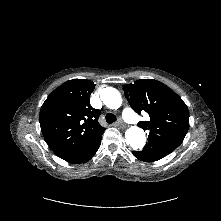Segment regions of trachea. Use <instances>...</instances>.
Wrapping results in <instances>:
<instances>
[{
    "mask_svg": "<svg viewBox=\"0 0 221 221\" xmlns=\"http://www.w3.org/2000/svg\"><path fill=\"white\" fill-rule=\"evenodd\" d=\"M105 120L108 124H111L113 122H115L117 120L116 116L112 113H108L106 116H105Z\"/></svg>",
    "mask_w": 221,
    "mask_h": 221,
    "instance_id": "obj_1",
    "label": "trachea"
}]
</instances>
